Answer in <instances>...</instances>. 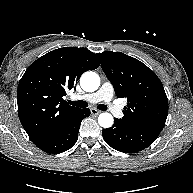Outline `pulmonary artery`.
Here are the masks:
<instances>
[{
	"instance_id": "obj_1",
	"label": "pulmonary artery",
	"mask_w": 193,
	"mask_h": 193,
	"mask_svg": "<svg viewBox=\"0 0 193 193\" xmlns=\"http://www.w3.org/2000/svg\"><path fill=\"white\" fill-rule=\"evenodd\" d=\"M113 95H114V89H113L112 84L109 82H105L103 83V85L100 87V89L97 92L88 94V95H84L82 98L91 103H96L100 101H104L108 103V107L111 113L115 117L120 118L122 117V110L119 106L111 102Z\"/></svg>"
}]
</instances>
